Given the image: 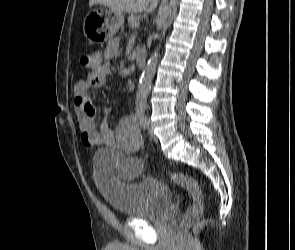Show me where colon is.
<instances>
[{
  "label": "colon",
  "mask_w": 295,
  "mask_h": 250,
  "mask_svg": "<svg viewBox=\"0 0 295 250\" xmlns=\"http://www.w3.org/2000/svg\"><path fill=\"white\" fill-rule=\"evenodd\" d=\"M93 62L92 54L85 53L80 58V64L88 68ZM165 176L171 181L182 185L192 199V205L183 216L182 222L188 223L197 219L203 211V194L198 182L187 174L174 171L164 172Z\"/></svg>",
  "instance_id": "colon-1"
}]
</instances>
